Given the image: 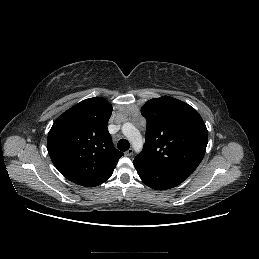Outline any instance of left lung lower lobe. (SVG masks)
Segmentation results:
<instances>
[{
  "instance_id": "left-lung-lower-lobe-1",
  "label": "left lung lower lobe",
  "mask_w": 259,
  "mask_h": 259,
  "mask_svg": "<svg viewBox=\"0 0 259 259\" xmlns=\"http://www.w3.org/2000/svg\"><path fill=\"white\" fill-rule=\"evenodd\" d=\"M133 164L141 180L155 190H166L176 187L187 179V177L154 167L140 160L135 159Z\"/></svg>"
}]
</instances>
